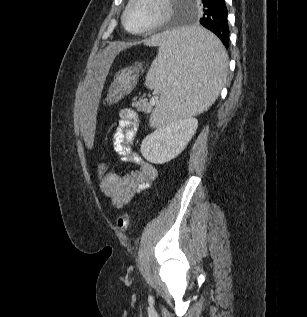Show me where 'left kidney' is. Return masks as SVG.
Returning a JSON list of instances; mask_svg holds the SVG:
<instances>
[{
	"instance_id": "obj_1",
	"label": "left kidney",
	"mask_w": 307,
	"mask_h": 317,
	"mask_svg": "<svg viewBox=\"0 0 307 317\" xmlns=\"http://www.w3.org/2000/svg\"><path fill=\"white\" fill-rule=\"evenodd\" d=\"M198 120L193 117L164 124L144 138L142 156L154 164H163L178 156L195 134Z\"/></svg>"
}]
</instances>
